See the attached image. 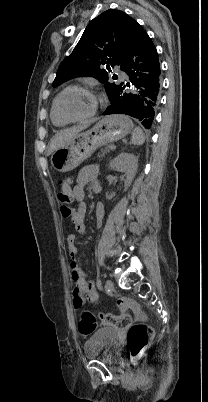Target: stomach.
<instances>
[{"label": "stomach", "mask_w": 208, "mask_h": 402, "mask_svg": "<svg viewBox=\"0 0 208 402\" xmlns=\"http://www.w3.org/2000/svg\"><path fill=\"white\" fill-rule=\"evenodd\" d=\"M133 124L123 114L105 116L88 132L79 134L72 142H67L51 156V164L57 172H70L90 158L95 150L113 144L130 134Z\"/></svg>", "instance_id": "stomach-1"}]
</instances>
